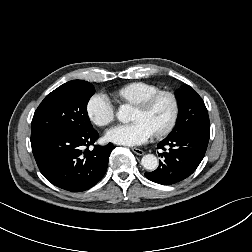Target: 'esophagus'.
<instances>
[{
  "label": "esophagus",
  "instance_id": "obj_1",
  "mask_svg": "<svg viewBox=\"0 0 252 252\" xmlns=\"http://www.w3.org/2000/svg\"><path fill=\"white\" fill-rule=\"evenodd\" d=\"M132 151L139 156H142L144 154V151L139 148H132Z\"/></svg>",
  "mask_w": 252,
  "mask_h": 252
}]
</instances>
